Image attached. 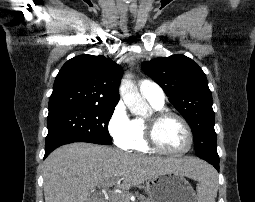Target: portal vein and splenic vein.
Listing matches in <instances>:
<instances>
[{
    "mask_svg": "<svg viewBox=\"0 0 255 202\" xmlns=\"http://www.w3.org/2000/svg\"><path fill=\"white\" fill-rule=\"evenodd\" d=\"M121 180H122V179H119V180L117 181V183H120ZM113 183H114V182H113L112 180H109V181L107 182L108 185H113Z\"/></svg>",
    "mask_w": 255,
    "mask_h": 202,
    "instance_id": "1",
    "label": "portal vein and splenic vein"
}]
</instances>
